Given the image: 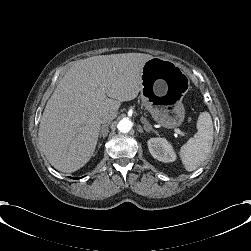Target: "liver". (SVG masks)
I'll return each instance as SVG.
<instances>
[{"instance_id":"liver-1","label":"liver","mask_w":251,"mask_h":251,"mask_svg":"<svg viewBox=\"0 0 251 251\" xmlns=\"http://www.w3.org/2000/svg\"><path fill=\"white\" fill-rule=\"evenodd\" d=\"M143 53L93 56L73 63L47 101L38 139L58 171L72 173L93 155L101 120L117 116L121 102L138 96Z\"/></svg>"}]
</instances>
